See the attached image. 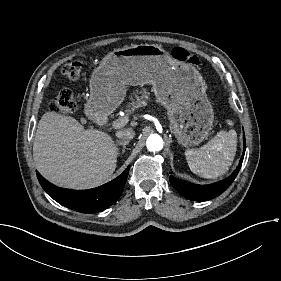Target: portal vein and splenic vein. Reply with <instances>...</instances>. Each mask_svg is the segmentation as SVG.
I'll return each instance as SVG.
<instances>
[{"label":"portal vein and splenic vein","mask_w":281,"mask_h":281,"mask_svg":"<svg viewBox=\"0 0 281 281\" xmlns=\"http://www.w3.org/2000/svg\"><path fill=\"white\" fill-rule=\"evenodd\" d=\"M128 121H129V118H128L127 116H124L123 118L117 119V120L114 122L113 125H114L116 128H119V127H121V126H125ZM108 129H109V130H112V129H113V126H112V125H109V126H108Z\"/></svg>","instance_id":"portal-vein-and-splenic-vein-1"}]
</instances>
